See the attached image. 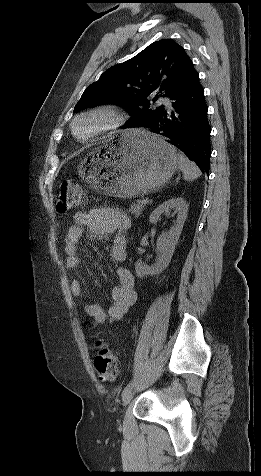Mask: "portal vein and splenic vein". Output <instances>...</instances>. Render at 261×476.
Wrapping results in <instances>:
<instances>
[{"label":"portal vein and splenic vein","instance_id":"18ae733b","mask_svg":"<svg viewBox=\"0 0 261 476\" xmlns=\"http://www.w3.org/2000/svg\"><path fill=\"white\" fill-rule=\"evenodd\" d=\"M148 202H149V199H148V198H144V199L142 200V204H147Z\"/></svg>","mask_w":261,"mask_h":476}]
</instances>
